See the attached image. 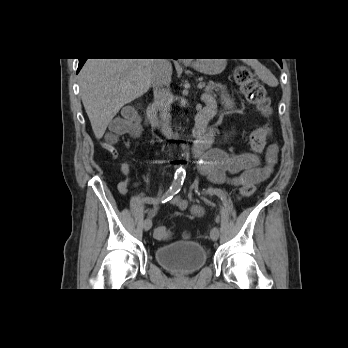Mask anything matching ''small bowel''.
<instances>
[{
  "label": "small bowel",
  "instance_id": "obj_1",
  "mask_svg": "<svg viewBox=\"0 0 348 348\" xmlns=\"http://www.w3.org/2000/svg\"><path fill=\"white\" fill-rule=\"evenodd\" d=\"M204 107H215L214 99L209 95L203 96ZM224 101L230 106L232 101L227 94H224ZM214 134V130L210 131V135ZM278 147L276 144L269 145L266 153V163L260 166L259 158L253 153H229L223 149H211L207 151L197 150L200 157V172L207 176L213 183H227L231 186L255 185L270 175L274 165L277 162ZM120 171L123 179L118 184V189L125 194L132 183V171L127 162L120 165ZM179 208L186 209L185 201L175 198L173 199ZM159 209L158 204L148 212L149 216H155ZM193 212L196 215L203 213L199 207H194Z\"/></svg>",
  "mask_w": 348,
  "mask_h": 348
}]
</instances>
